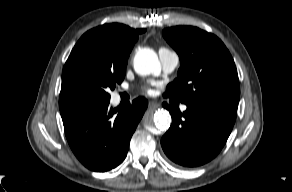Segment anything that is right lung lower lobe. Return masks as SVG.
Returning a JSON list of instances; mask_svg holds the SVG:
<instances>
[{"mask_svg":"<svg viewBox=\"0 0 292 192\" xmlns=\"http://www.w3.org/2000/svg\"><path fill=\"white\" fill-rule=\"evenodd\" d=\"M147 104L144 98H137L131 106L118 109L109 107V101L59 98L66 138L75 156L93 171L117 167L127 155Z\"/></svg>","mask_w":292,"mask_h":192,"instance_id":"1","label":"right lung lower lobe"}]
</instances>
